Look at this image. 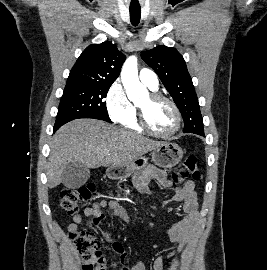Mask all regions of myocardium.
Returning a JSON list of instances; mask_svg holds the SVG:
<instances>
[{
	"label": "myocardium",
	"instance_id": "myocardium-1",
	"mask_svg": "<svg viewBox=\"0 0 267 270\" xmlns=\"http://www.w3.org/2000/svg\"><path fill=\"white\" fill-rule=\"evenodd\" d=\"M149 98L151 101H164V102L168 103L175 113L176 123H175L173 130L169 133L157 132L150 126V124L147 120L145 109L138 105L137 114H138V122H139L140 126L142 127V129L145 132H147L148 134L155 136L157 138L170 139V138L174 137L179 132V130L181 128V123H182L181 112H180L177 104L173 100L168 98L167 96H165L161 93H158V92H151L149 94Z\"/></svg>",
	"mask_w": 267,
	"mask_h": 270
}]
</instances>
